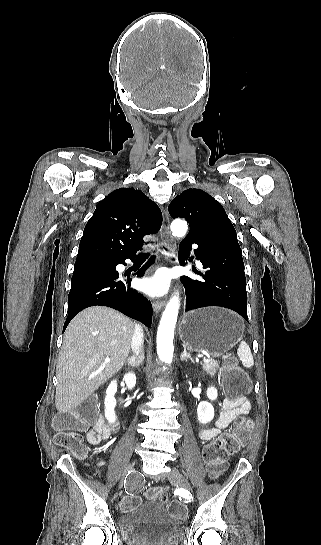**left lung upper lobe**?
I'll return each mask as SVG.
<instances>
[{"label":"left lung upper lobe","mask_w":321,"mask_h":545,"mask_svg":"<svg viewBox=\"0 0 321 545\" xmlns=\"http://www.w3.org/2000/svg\"><path fill=\"white\" fill-rule=\"evenodd\" d=\"M172 218H185L190 224L188 235L213 230H235L222 205L200 189H187L169 205Z\"/></svg>","instance_id":"left-lung-upper-lobe-1"}]
</instances>
